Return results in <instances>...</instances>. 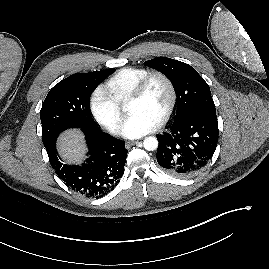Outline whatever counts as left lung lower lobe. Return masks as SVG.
<instances>
[{
  "label": "left lung lower lobe",
  "mask_w": 269,
  "mask_h": 269,
  "mask_svg": "<svg viewBox=\"0 0 269 269\" xmlns=\"http://www.w3.org/2000/svg\"><path fill=\"white\" fill-rule=\"evenodd\" d=\"M157 162L169 174L191 177L211 160L218 140L216 112L200 111L173 122L158 135Z\"/></svg>",
  "instance_id": "0a47b994"
}]
</instances>
